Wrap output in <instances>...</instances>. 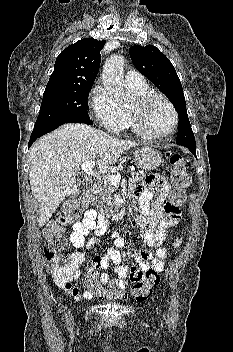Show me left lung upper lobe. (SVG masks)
<instances>
[{
  "label": "left lung upper lobe",
  "mask_w": 233,
  "mask_h": 352,
  "mask_svg": "<svg viewBox=\"0 0 233 352\" xmlns=\"http://www.w3.org/2000/svg\"><path fill=\"white\" fill-rule=\"evenodd\" d=\"M135 68L157 86L177 110L179 125L176 144L195 146L180 79L169 59L155 46L135 45L129 50Z\"/></svg>",
  "instance_id": "1"
}]
</instances>
